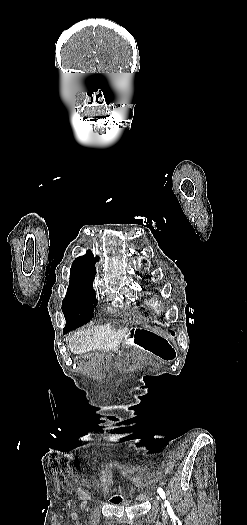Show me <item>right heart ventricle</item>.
<instances>
[{
	"label": "right heart ventricle",
	"mask_w": 247,
	"mask_h": 525,
	"mask_svg": "<svg viewBox=\"0 0 247 525\" xmlns=\"http://www.w3.org/2000/svg\"><path fill=\"white\" fill-rule=\"evenodd\" d=\"M139 300L143 307L150 309V297L149 296L140 295Z\"/></svg>",
	"instance_id": "1"
}]
</instances>
